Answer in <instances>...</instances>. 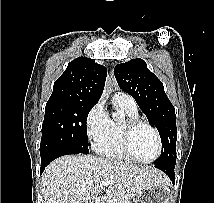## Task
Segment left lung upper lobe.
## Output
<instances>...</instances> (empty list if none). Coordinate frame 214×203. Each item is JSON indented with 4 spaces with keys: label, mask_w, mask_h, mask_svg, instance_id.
Masks as SVG:
<instances>
[{
    "label": "left lung upper lobe",
    "mask_w": 214,
    "mask_h": 203,
    "mask_svg": "<svg viewBox=\"0 0 214 203\" xmlns=\"http://www.w3.org/2000/svg\"><path fill=\"white\" fill-rule=\"evenodd\" d=\"M114 74L119 87L136 100L149 123L155 125L160 134L162 151L155 163H176L175 108L168 99L162 82L140 58L116 65Z\"/></svg>",
    "instance_id": "obj_1"
}]
</instances>
